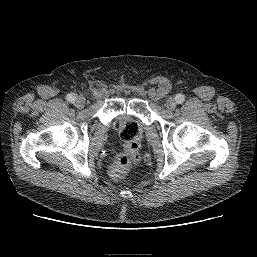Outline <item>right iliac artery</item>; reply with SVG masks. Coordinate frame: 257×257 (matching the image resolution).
Here are the masks:
<instances>
[{
  "instance_id": "right-iliac-artery-1",
  "label": "right iliac artery",
  "mask_w": 257,
  "mask_h": 257,
  "mask_svg": "<svg viewBox=\"0 0 257 257\" xmlns=\"http://www.w3.org/2000/svg\"><path fill=\"white\" fill-rule=\"evenodd\" d=\"M66 99H67V101L74 103L76 96H75V94L71 93V94L67 95Z\"/></svg>"
}]
</instances>
